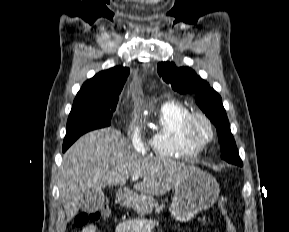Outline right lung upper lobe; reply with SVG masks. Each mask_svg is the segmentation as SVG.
<instances>
[{"label": "right lung upper lobe", "mask_w": 289, "mask_h": 232, "mask_svg": "<svg viewBox=\"0 0 289 232\" xmlns=\"http://www.w3.org/2000/svg\"><path fill=\"white\" fill-rule=\"evenodd\" d=\"M128 75L129 69L124 67H114L99 72L83 84L76 98L119 97Z\"/></svg>", "instance_id": "cb5924a9"}]
</instances>
